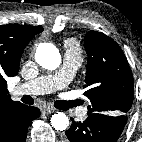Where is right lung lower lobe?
<instances>
[{
    "label": "right lung lower lobe",
    "mask_w": 142,
    "mask_h": 142,
    "mask_svg": "<svg viewBox=\"0 0 142 142\" xmlns=\"http://www.w3.org/2000/svg\"><path fill=\"white\" fill-rule=\"evenodd\" d=\"M40 116L33 106L19 105L0 117V142H25L29 124Z\"/></svg>",
    "instance_id": "right-lung-lower-lobe-1"
}]
</instances>
